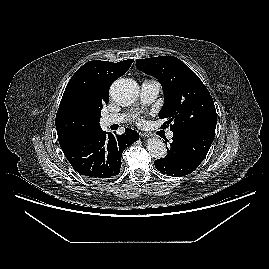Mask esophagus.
<instances>
[{
    "mask_svg": "<svg viewBox=\"0 0 269 269\" xmlns=\"http://www.w3.org/2000/svg\"><path fill=\"white\" fill-rule=\"evenodd\" d=\"M141 136H142L143 138H148V137H150L151 135H150L149 133L143 132V133H141Z\"/></svg>",
    "mask_w": 269,
    "mask_h": 269,
    "instance_id": "obj_1",
    "label": "esophagus"
}]
</instances>
